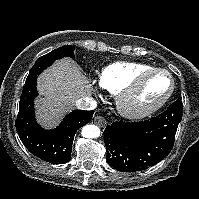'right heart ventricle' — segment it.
<instances>
[{
    "label": "right heart ventricle",
    "instance_id": "1",
    "mask_svg": "<svg viewBox=\"0 0 199 199\" xmlns=\"http://www.w3.org/2000/svg\"><path fill=\"white\" fill-rule=\"evenodd\" d=\"M153 68L139 62H115L99 73V85L111 94H118L140 72Z\"/></svg>",
    "mask_w": 199,
    "mask_h": 199
}]
</instances>
